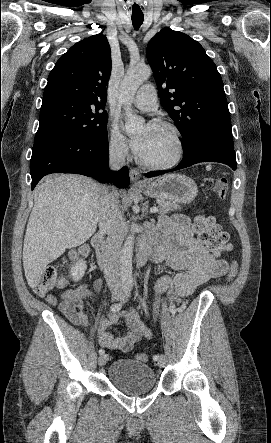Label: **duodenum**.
Segmentation results:
<instances>
[{
  "label": "duodenum",
  "mask_w": 271,
  "mask_h": 443,
  "mask_svg": "<svg viewBox=\"0 0 271 443\" xmlns=\"http://www.w3.org/2000/svg\"><path fill=\"white\" fill-rule=\"evenodd\" d=\"M98 262L105 273H111L117 259V249L114 239L105 240L100 236L93 239ZM142 260V258H141Z\"/></svg>",
  "instance_id": "1"
}]
</instances>
